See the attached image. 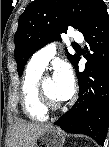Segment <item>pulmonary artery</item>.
Segmentation results:
<instances>
[{"label":"pulmonary artery","mask_w":109,"mask_h":147,"mask_svg":"<svg viewBox=\"0 0 109 147\" xmlns=\"http://www.w3.org/2000/svg\"><path fill=\"white\" fill-rule=\"evenodd\" d=\"M71 39L77 43L83 42V35L81 33H74L71 35ZM56 54V44L50 43L44 48L34 53L29 61V66L38 70H45L50 60Z\"/></svg>","instance_id":"e3ab8cb5"}]
</instances>
